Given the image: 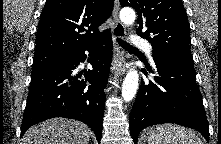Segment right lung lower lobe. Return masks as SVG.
<instances>
[{
  "label": "right lung lower lobe",
  "mask_w": 221,
  "mask_h": 144,
  "mask_svg": "<svg viewBox=\"0 0 221 144\" xmlns=\"http://www.w3.org/2000/svg\"><path fill=\"white\" fill-rule=\"evenodd\" d=\"M89 52L93 70L81 79L78 65ZM112 59L110 32L31 75L29 95L21 124V136L39 122L53 117L82 121L95 132L98 142L102 137L105 86Z\"/></svg>",
  "instance_id": "1"
}]
</instances>
